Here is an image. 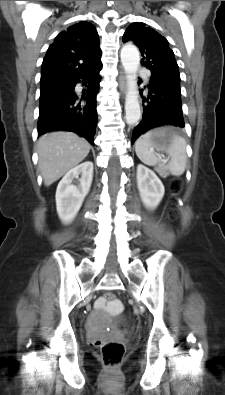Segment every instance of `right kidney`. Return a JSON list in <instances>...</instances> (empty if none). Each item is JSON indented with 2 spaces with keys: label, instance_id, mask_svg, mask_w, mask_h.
Wrapping results in <instances>:
<instances>
[{
  "label": "right kidney",
  "instance_id": "right-kidney-1",
  "mask_svg": "<svg viewBox=\"0 0 225 395\" xmlns=\"http://www.w3.org/2000/svg\"><path fill=\"white\" fill-rule=\"evenodd\" d=\"M92 178L93 163L86 161L69 170L59 182L56 190V208L63 223L71 222L77 215L90 190ZM75 179H78L77 185L72 184Z\"/></svg>",
  "mask_w": 225,
  "mask_h": 395
}]
</instances>
